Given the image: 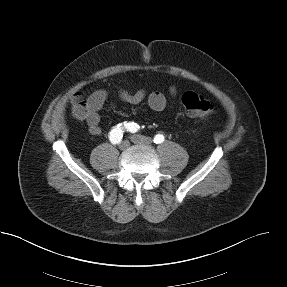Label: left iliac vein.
Returning <instances> with one entry per match:
<instances>
[{
	"mask_svg": "<svg viewBox=\"0 0 287 287\" xmlns=\"http://www.w3.org/2000/svg\"><path fill=\"white\" fill-rule=\"evenodd\" d=\"M130 139L134 144H139V145H149L152 143V139L150 137H146L143 135L134 134L131 136Z\"/></svg>",
	"mask_w": 287,
	"mask_h": 287,
	"instance_id": "obj_1",
	"label": "left iliac vein"
}]
</instances>
